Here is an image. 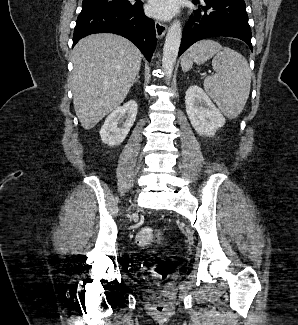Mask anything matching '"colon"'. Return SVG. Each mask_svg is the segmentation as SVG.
I'll list each match as a JSON object with an SVG mask.
<instances>
[{
	"label": "colon",
	"mask_w": 298,
	"mask_h": 325,
	"mask_svg": "<svg viewBox=\"0 0 298 325\" xmlns=\"http://www.w3.org/2000/svg\"><path fill=\"white\" fill-rule=\"evenodd\" d=\"M161 239V233L151 227H144L136 234V243L139 246H150ZM169 269L166 263L157 264L152 271V278L157 282H162L168 277Z\"/></svg>",
	"instance_id": "1"
}]
</instances>
